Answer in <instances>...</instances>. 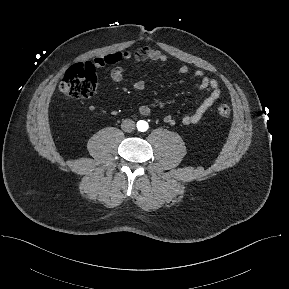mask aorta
<instances>
[{
  "label": "aorta",
  "instance_id": "1",
  "mask_svg": "<svg viewBox=\"0 0 289 289\" xmlns=\"http://www.w3.org/2000/svg\"><path fill=\"white\" fill-rule=\"evenodd\" d=\"M147 128H148V124H147L145 121H140V122L138 123V129H139L140 131H146Z\"/></svg>",
  "mask_w": 289,
  "mask_h": 289
}]
</instances>
